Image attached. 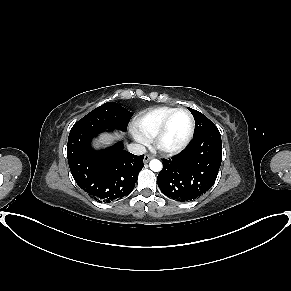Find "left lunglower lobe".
<instances>
[{
    "mask_svg": "<svg viewBox=\"0 0 291 291\" xmlns=\"http://www.w3.org/2000/svg\"><path fill=\"white\" fill-rule=\"evenodd\" d=\"M221 161L220 132L209 131L194 137L178 155L163 159L157 184L161 192L173 200H195L213 186Z\"/></svg>",
    "mask_w": 291,
    "mask_h": 291,
    "instance_id": "0a47b994",
    "label": "left lung lower lobe"
}]
</instances>
